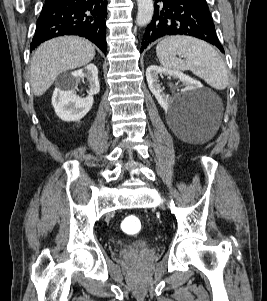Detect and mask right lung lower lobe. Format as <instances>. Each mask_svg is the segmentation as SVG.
Returning <instances> with one entry per match:
<instances>
[{"label": "right lung lower lobe", "mask_w": 267, "mask_h": 301, "mask_svg": "<svg viewBox=\"0 0 267 301\" xmlns=\"http://www.w3.org/2000/svg\"><path fill=\"white\" fill-rule=\"evenodd\" d=\"M107 0H53L45 3L37 20L31 50L63 35L88 38L106 53Z\"/></svg>", "instance_id": "right-lung-lower-lobe-1"}]
</instances>
